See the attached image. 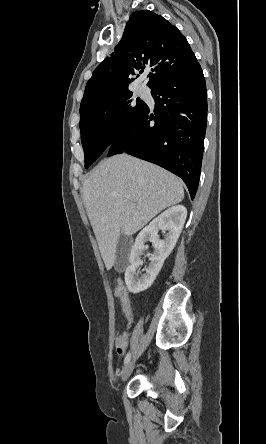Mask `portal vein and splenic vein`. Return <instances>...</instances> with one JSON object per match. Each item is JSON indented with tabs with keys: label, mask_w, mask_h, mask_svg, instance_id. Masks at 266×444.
Returning a JSON list of instances; mask_svg holds the SVG:
<instances>
[{
	"label": "portal vein and splenic vein",
	"mask_w": 266,
	"mask_h": 444,
	"mask_svg": "<svg viewBox=\"0 0 266 444\" xmlns=\"http://www.w3.org/2000/svg\"><path fill=\"white\" fill-rule=\"evenodd\" d=\"M126 198H127V199H130L131 197L128 195V196H126Z\"/></svg>",
	"instance_id": "portal-vein-and-splenic-vein-1"
}]
</instances>
